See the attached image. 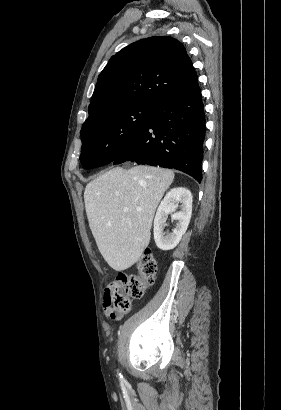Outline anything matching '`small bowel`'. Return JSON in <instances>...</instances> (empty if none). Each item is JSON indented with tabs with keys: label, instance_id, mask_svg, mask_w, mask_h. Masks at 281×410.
<instances>
[{
	"label": "small bowel",
	"instance_id": "obj_1",
	"mask_svg": "<svg viewBox=\"0 0 281 410\" xmlns=\"http://www.w3.org/2000/svg\"><path fill=\"white\" fill-rule=\"evenodd\" d=\"M103 309H104V313H105L107 316H109V314H110L111 311H112V307H111V301H110L108 289H106V290H105V293H104Z\"/></svg>",
	"mask_w": 281,
	"mask_h": 410
}]
</instances>
